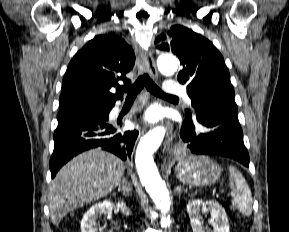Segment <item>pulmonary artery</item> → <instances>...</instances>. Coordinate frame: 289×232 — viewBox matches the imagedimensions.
I'll return each instance as SVG.
<instances>
[{"label":"pulmonary artery","mask_w":289,"mask_h":232,"mask_svg":"<svg viewBox=\"0 0 289 232\" xmlns=\"http://www.w3.org/2000/svg\"><path fill=\"white\" fill-rule=\"evenodd\" d=\"M164 92L167 94H180L187 98L189 101L187 94H186V88L181 85L179 82L174 80H167L164 83ZM119 108L116 107L115 110L117 111Z\"/></svg>","instance_id":"e3ab8cb5"}]
</instances>
